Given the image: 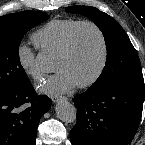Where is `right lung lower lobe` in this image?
<instances>
[{
	"mask_svg": "<svg viewBox=\"0 0 145 145\" xmlns=\"http://www.w3.org/2000/svg\"><path fill=\"white\" fill-rule=\"evenodd\" d=\"M50 99L36 95L30 81L15 90H0V145H35L40 118Z\"/></svg>",
	"mask_w": 145,
	"mask_h": 145,
	"instance_id": "98d812e1",
	"label": "right lung lower lobe"
}]
</instances>
